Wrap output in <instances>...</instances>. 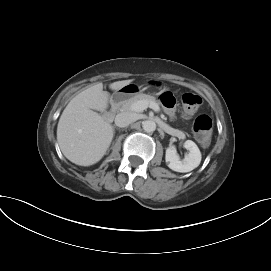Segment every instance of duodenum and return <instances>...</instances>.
I'll use <instances>...</instances> for the list:
<instances>
[{
	"instance_id": "410a0bca",
	"label": "duodenum",
	"mask_w": 271,
	"mask_h": 271,
	"mask_svg": "<svg viewBox=\"0 0 271 271\" xmlns=\"http://www.w3.org/2000/svg\"><path fill=\"white\" fill-rule=\"evenodd\" d=\"M124 99V94L122 93H117L113 96L112 100H111V107L107 113V117L108 118H113L118 110V108L120 107V104L122 103Z\"/></svg>"
}]
</instances>
